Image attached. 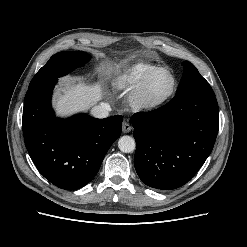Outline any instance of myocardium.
Wrapping results in <instances>:
<instances>
[{"mask_svg":"<svg viewBox=\"0 0 247 247\" xmlns=\"http://www.w3.org/2000/svg\"><path fill=\"white\" fill-rule=\"evenodd\" d=\"M159 71H164L169 74V76L172 79L171 89L161 99L154 100V101L147 100L143 96V90H144L145 84L152 74L159 72ZM176 88H177V80H176L174 73L167 67L156 66L148 70L147 72H145L143 76L139 79L137 84L133 87L129 95V103L132 106V108L138 111L156 110L162 107L163 105H165L168 101H170V99L173 97V95L176 92Z\"/></svg>","mask_w":247,"mask_h":247,"instance_id":"myocardium-1","label":"myocardium"}]
</instances>
